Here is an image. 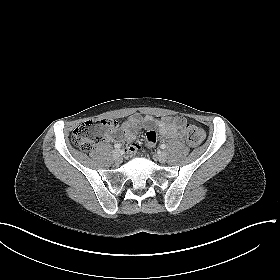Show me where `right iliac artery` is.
<instances>
[{"instance_id": "right-iliac-artery-1", "label": "right iliac artery", "mask_w": 280, "mask_h": 280, "mask_svg": "<svg viewBox=\"0 0 280 280\" xmlns=\"http://www.w3.org/2000/svg\"><path fill=\"white\" fill-rule=\"evenodd\" d=\"M114 147L119 149V148H121V145L117 143V144L114 145Z\"/></svg>"}]
</instances>
